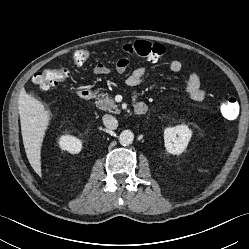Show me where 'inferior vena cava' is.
Here are the masks:
<instances>
[{
	"mask_svg": "<svg viewBox=\"0 0 249 249\" xmlns=\"http://www.w3.org/2000/svg\"><path fill=\"white\" fill-rule=\"evenodd\" d=\"M102 119L106 128L115 130L118 127V121L112 115L106 114Z\"/></svg>",
	"mask_w": 249,
	"mask_h": 249,
	"instance_id": "obj_1",
	"label": "inferior vena cava"
}]
</instances>
